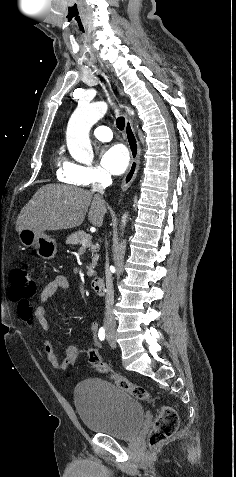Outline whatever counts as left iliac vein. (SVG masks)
<instances>
[{"mask_svg":"<svg viewBox=\"0 0 236 477\" xmlns=\"http://www.w3.org/2000/svg\"><path fill=\"white\" fill-rule=\"evenodd\" d=\"M108 341H109V344H110V346H111L112 348H115V347H116L115 341H110V340H108Z\"/></svg>","mask_w":236,"mask_h":477,"instance_id":"left-iliac-vein-1","label":"left iliac vein"}]
</instances>
